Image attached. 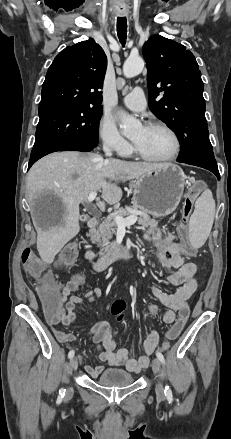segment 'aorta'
I'll use <instances>...</instances> for the list:
<instances>
[{
    "label": "aorta",
    "mask_w": 231,
    "mask_h": 439,
    "mask_svg": "<svg viewBox=\"0 0 231 439\" xmlns=\"http://www.w3.org/2000/svg\"><path fill=\"white\" fill-rule=\"evenodd\" d=\"M144 68V61L141 57H129L123 65V73L127 78H132ZM123 134L127 137L134 135L140 128L141 124L134 117L130 116L124 111L120 112Z\"/></svg>",
    "instance_id": "aorta-1"
}]
</instances>
